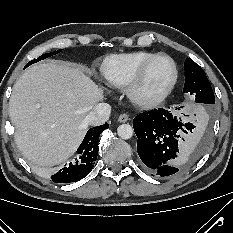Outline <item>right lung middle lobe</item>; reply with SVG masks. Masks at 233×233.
<instances>
[{
	"mask_svg": "<svg viewBox=\"0 0 233 233\" xmlns=\"http://www.w3.org/2000/svg\"><path fill=\"white\" fill-rule=\"evenodd\" d=\"M60 51H61V50H57V51H54V52H51V53L43 54V55H41L40 57H38L37 59H34V60L30 61V62L25 66V68L28 67V66H30V65L33 64V63H36V62L42 60V59L48 58V57H50V56H52V55H55V54L59 53Z\"/></svg>",
	"mask_w": 233,
	"mask_h": 233,
	"instance_id": "1",
	"label": "right lung middle lobe"
}]
</instances>
